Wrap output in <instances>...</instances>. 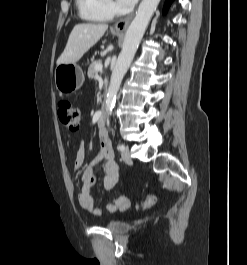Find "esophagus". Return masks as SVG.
Returning <instances> with one entry per match:
<instances>
[{
  "label": "esophagus",
  "instance_id": "esophagus-1",
  "mask_svg": "<svg viewBox=\"0 0 247 265\" xmlns=\"http://www.w3.org/2000/svg\"><path fill=\"white\" fill-rule=\"evenodd\" d=\"M134 13H131L127 17L119 20L115 25L114 28L118 32H125L126 29L128 28V25L130 24L132 18H133Z\"/></svg>",
  "mask_w": 247,
  "mask_h": 265
}]
</instances>
